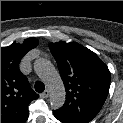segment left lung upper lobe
<instances>
[{
  "instance_id": "5c2ea615",
  "label": "left lung upper lobe",
  "mask_w": 123,
  "mask_h": 123,
  "mask_svg": "<svg viewBox=\"0 0 123 123\" xmlns=\"http://www.w3.org/2000/svg\"><path fill=\"white\" fill-rule=\"evenodd\" d=\"M50 50L66 89L64 106L54 112L73 123H88L98 114L109 92L107 65L78 43H51Z\"/></svg>"
}]
</instances>
